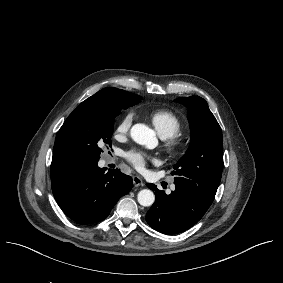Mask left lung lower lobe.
I'll return each mask as SVG.
<instances>
[{"label":"left lung lower lobe","instance_id":"left-lung-lower-lobe-1","mask_svg":"<svg viewBox=\"0 0 283 283\" xmlns=\"http://www.w3.org/2000/svg\"><path fill=\"white\" fill-rule=\"evenodd\" d=\"M155 191L156 201L146 213V222L164 234H177L196 224L212 203L196 193L176 185L175 191L167 195L154 184H147Z\"/></svg>","mask_w":283,"mask_h":283}]
</instances>
